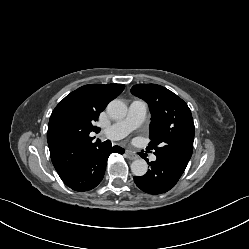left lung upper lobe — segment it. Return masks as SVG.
Instances as JSON below:
<instances>
[{"instance_id":"5c2ea615","label":"left lung upper lobe","mask_w":249,"mask_h":249,"mask_svg":"<svg viewBox=\"0 0 249 249\" xmlns=\"http://www.w3.org/2000/svg\"><path fill=\"white\" fill-rule=\"evenodd\" d=\"M131 93L142 98L151 112L150 145L155 155L187 165L193 151L194 122L187 104L156 84H138Z\"/></svg>"}]
</instances>
